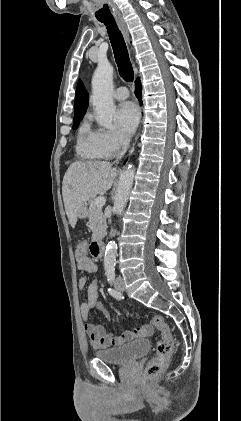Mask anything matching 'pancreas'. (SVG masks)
Wrapping results in <instances>:
<instances>
[{
	"mask_svg": "<svg viewBox=\"0 0 241 421\" xmlns=\"http://www.w3.org/2000/svg\"><path fill=\"white\" fill-rule=\"evenodd\" d=\"M94 202V198L88 202L90 205L88 210L89 224L92 230V239H101L106 234V218L103 214L102 208L97 207Z\"/></svg>",
	"mask_w": 241,
	"mask_h": 421,
	"instance_id": "1",
	"label": "pancreas"
}]
</instances>
